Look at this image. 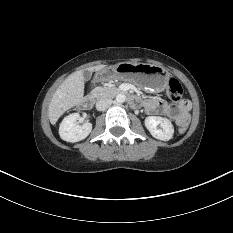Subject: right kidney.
Wrapping results in <instances>:
<instances>
[{"instance_id": "1", "label": "right kidney", "mask_w": 233, "mask_h": 233, "mask_svg": "<svg viewBox=\"0 0 233 233\" xmlns=\"http://www.w3.org/2000/svg\"><path fill=\"white\" fill-rule=\"evenodd\" d=\"M79 117V113H72L63 119L59 127L62 140L74 143L85 139L90 134L92 124L86 122L82 126L77 125L75 122Z\"/></svg>"}]
</instances>
